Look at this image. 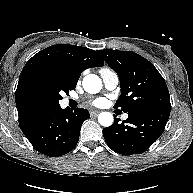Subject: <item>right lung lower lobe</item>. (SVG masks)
I'll list each match as a JSON object with an SVG mask.
<instances>
[{"label":"right lung lower lobe","mask_w":193,"mask_h":193,"mask_svg":"<svg viewBox=\"0 0 193 193\" xmlns=\"http://www.w3.org/2000/svg\"><path fill=\"white\" fill-rule=\"evenodd\" d=\"M90 118L86 109L60 107L44 114L23 129L32 146L42 154L56 157L70 152L77 144L82 123Z\"/></svg>","instance_id":"obj_1"}]
</instances>
